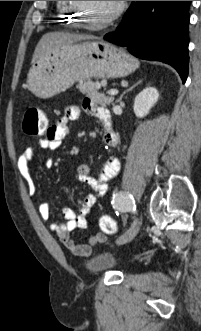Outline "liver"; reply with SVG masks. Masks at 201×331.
<instances>
[{
  "instance_id": "obj_1",
  "label": "liver",
  "mask_w": 201,
  "mask_h": 331,
  "mask_svg": "<svg viewBox=\"0 0 201 331\" xmlns=\"http://www.w3.org/2000/svg\"><path fill=\"white\" fill-rule=\"evenodd\" d=\"M92 39H96V37L92 35L73 34L69 32L46 33L38 42L31 63L34 64L38 59L52 52L61 45Z\"/></svg>"
}]
</instances>
